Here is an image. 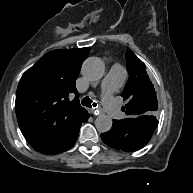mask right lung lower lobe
Returning <instances> with one entry per match:
<instances>
[{
	"mask_svg": "<svg viewBox=\"0 0 193 193\" xmlns=\"http://www.w3.org/2000/svg\"><path fill=\"white\" fill-rule=\"evenodd\" d=\"M88 119V118H87ZM86 119V120H87ZM85 120V121H86ZM81 126V125H80ZM80 126L76 129V131L61 145L51 148V149H46L43 151H40L41 153H45V154H56V153H60L63 152L67 149H69L76 141L77 137H78V133H79V129Z\"/></svg>",
	"mask_w": 193,
	"mask_h": 193,
	"instance_id": "right-lung-lower-lobe-1",
	"label": "right lung lower lobe"
}]
</instances>
